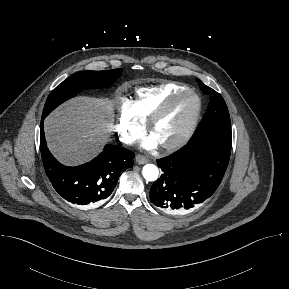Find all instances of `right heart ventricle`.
I'll return each mask as SVG.
<instances>
[{
	"instance_id": "right-heart-ventricle-1",
	"label": "right heart ventricle",
	"mask_w": 289,
	"mask_h": 289,
	"mask_svg": "<svg viewBox=\"0 0 289 289\" xmlns=\"http://www.w3.org/2000/svg\"><path fill=\"white\" fill-rule=\"evenodd\" d=\"M186 88L180 83H164L156 86L138 88L132 107L137 118L145 123L151 113L171 94Z\"/></svg>"
}]
</instances>
